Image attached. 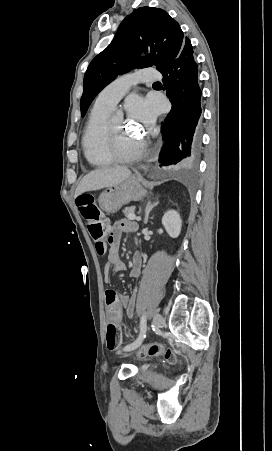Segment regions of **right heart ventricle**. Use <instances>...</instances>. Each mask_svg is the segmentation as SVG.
<instances>
[{
    "label": "right heart ventricle",
    "instance_id": "right-heart-ventricle-1",
    "mask_svg": "<svg viewBox=\"0 0 272 451\" xmlns=\"http://www.w3.org/2000/svg\"><path fill=\"white\" fill-rule=\"evenodd\" d=\"M133 98L126 100L129 103ZM113 106H101L95 103L87 123L83 144L86 159L95 166L108 164L112 160L114 144L103 138V129L107 115Z\"/></svg>",
    "mask_w": 272,
    "mask_h": 451
}]
</instances>
